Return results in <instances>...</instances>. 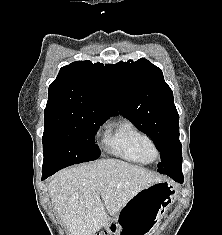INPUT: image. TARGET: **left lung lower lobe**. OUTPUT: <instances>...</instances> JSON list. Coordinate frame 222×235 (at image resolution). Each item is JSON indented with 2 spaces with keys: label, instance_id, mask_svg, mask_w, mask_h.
<instances>
[{
  "label": "left lung lower lobe",
  "instance_id": "obj_1",
  "mask_svg": "<svg viewBox=\"0 0 222 235\" xmlns=\"http://www.w3.org/2000/svg\"><path fill=\"white\" fill-rule=\"evenodd\" d=\"M171 178L174 179L178 183H183V180H184L182 175H180V176H172Z\"/></svg>",
  "mask_w": 222,
  "mask_h": 235
}]
</instances>
